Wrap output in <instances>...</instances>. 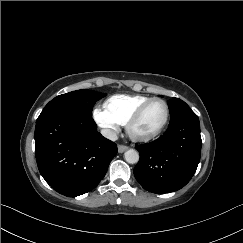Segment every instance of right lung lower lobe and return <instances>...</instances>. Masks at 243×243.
<instances>
[{"label":"right lung lower lobe","mask_w":243,"mask_h":243,"mask_svg":"<svg viewBox=\"0 0 243 243\" xmlns=\"http://www.w3.org/2000/svg\"><path fill=\"white\" fill-rule=\"evenodd\" d=\"M116 154V144L97 132L92 116L55 111L36 121L39 171L62 195L76 197L94 189Z\"/></svg>","instance_id":"98d812e1"}]
</instances>
